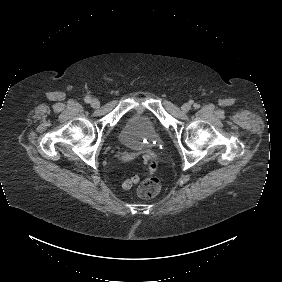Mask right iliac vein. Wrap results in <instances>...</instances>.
<instances>
[{
    "instance_id": "63e3f726",
    "label": "right iliac vein",
    "mask_w": 282,
    "mask_h": 282,
    "mask_svg": "<svg viewBox=\"0 0 282 282\" xmlns=\"http://www.w3.org/2000/svg\"><path fill=\"white\" fill-rule=\"evenodd\" d=\"M91 106H92L93 108H98V107L100 106V102H99L97 99H93V100L91 101Z\"/></svg>"
}]
</instances>
